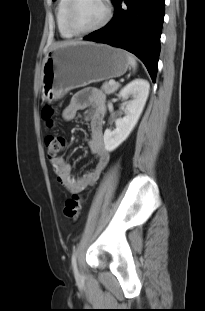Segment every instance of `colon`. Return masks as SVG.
I'll use <instances>...</instances> for the list:
<instances>
[{"label": "colon", "mask_w": 205, "mask_h": 311, "mask_svg": "<svg viewBox=\"0 0 205 311\" xmlns=\"http://www.w3.org/2000/svg\"><path fill=\"white\" fill-rule=\"evenodd\" d=\"M42 118L50 128L56 125V110L50 105L43 107ZM47 156L49 159L57 158L66 145L65 138L59 135L49 134L45 137ZM83 205V199L78 194H73L65 201L64 214L70 220H77Z\"/></svg>", "instance_id": "colon-1"}]
</instances>
